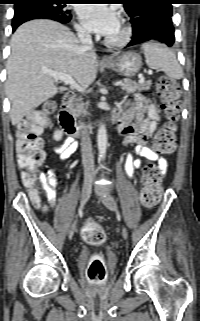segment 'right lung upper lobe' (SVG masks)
I'll return each mask as SVG.
<instances>
[{"mask_svg": "<svg viewBox=\"0 0 200 321\" xmlns=\"http://www.w3.org/2000/svg\"><path fill=\"white\" fill-rule=\"evenodd\" d=\"M18 1V3H20V2H23V1H26V0H17ZM18 3H16V4H18Z\"/></svg>", "mask_w": 200, "mask_h": 321, "instance_id": "cb5924a9", "label": "right lung upper lobe"}]
</instances>
